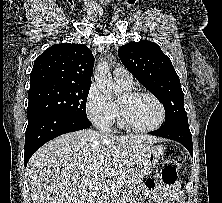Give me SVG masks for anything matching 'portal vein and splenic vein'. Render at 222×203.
<instances>
[{
  "label": "portal vein and splenic vein",
  "mask_w": 222,
  "mask_h": 203,
  "mask_svg": "<svg viewBox=\"0 0 222 203\" xmlns=\"http://www.w3.org/2000/svg\"><path fill=\"white\" fill-rule=\"evenodd\" d=\"M82 185L89 187L94 190H103L106 192H116L121 187V183L119 181L113 182H103V181H89L82 180Z\"/></svg>",
  "instance_id": "obj_1"
}]
</instances>
